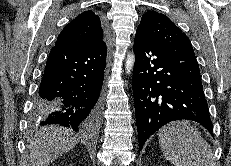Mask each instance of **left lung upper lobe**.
<instances>
[{"instance_id":"left-lung-upper-lobe-1","label":"left lung upper lobe","mask_w":231,"mask_h":166,"mask_svg":"<svg viewBox=\"0 0 231 166\" xmlns=\"http://www.w3.org/2000/svg\"><path fill=\"white\" fill-rule=\"evenodd\" d=\"M137 32L161 47L194 54L189 38L164 14L146 12L141 18Z\"/></svg>"}]
</instances>
